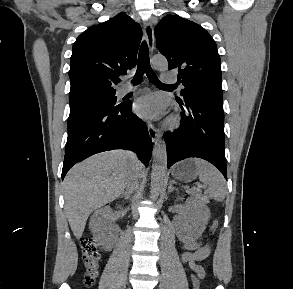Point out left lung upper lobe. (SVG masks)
<instances>
[{
  "label": "left lung upper lobe",
  "instance_id": "left-lung-upper-lobe-1",
  "mask_svg": "<svg viewBox=\"0 0 293 289\" xmlns=\"http://www.w3.org/2000/svg\"><path fill=\"white\" fill-rule=\"evenodd\" d=\"M157 48L178 69L182 97L205 95L223 100L220 56L211 35L199 24L177 15L163 17L155 28Z\"/></svg>",
  "mask_w": 293,
  "mask_h": 289
}]
</instances>
